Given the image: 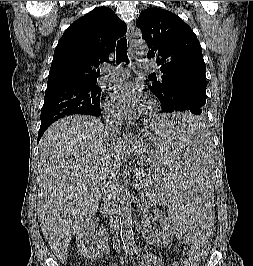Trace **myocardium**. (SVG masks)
<instances>
[{
	"instance_id": "myocardium-1",
	"label": "myocardium",
	"mask_w": 253,
	"mask_h": 266,
	"mask_svg": "<svg viewBox=\"0 0 253 266\" xmlns=\"http://www.w3.org/2000/svg\"><path fill=\"white\" fill-rule=\"evenodd\" d=\"M149 110L146 113L144 120L149 121L153 119L158 112V102L154 98L148 100Z\"/></svg>"
}]
</instances>
